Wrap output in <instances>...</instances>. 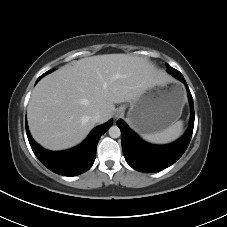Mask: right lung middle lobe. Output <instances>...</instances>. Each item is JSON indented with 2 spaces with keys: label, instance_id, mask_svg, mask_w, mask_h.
Wrapping results in <instances>:
<instances>
[{
  "label": "right lung middle lobe",
  "instance_id": "1",
  "mask_svg": "<svg viewBox=\"0 0 227 227\" xmlns=\"http://www.w3.org/2000/svg\"><path fill=\"white\" fill-rule=\"evenodd\" d=\"M53 70H49V71H47L46 73H44L43 75H46V74H48V73H50V72H52Z\"/></svg>",
  "mask_w": 227,
  "mask_h": 227
}]
</instances>
